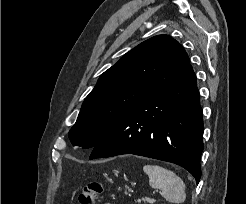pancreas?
<instances>
[{
	"label": "pancreas",
	"mask_w": 246,
	"mask_h": 204,
	"mask_svg": "<svg viewBox=\"0 0 246 204\" xmlns=\"http://www.w3.org/2000/svg\"><path fill=\"white\" fill-rule=\"evenodd\" d=\"M142 200H143L144 202H148V201H149L148 198H143ZM140 201H141L140 199L137 200V202H140Z\"/></svg>",
	"instance_id": "1"
}]
</instances>
